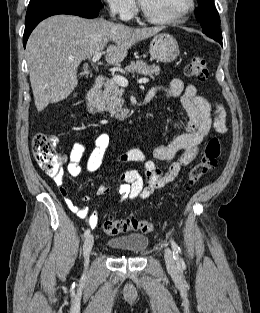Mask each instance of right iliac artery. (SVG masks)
<instances>
[{"label": "right iliac artery", "instance_id": "82829eb1", "mask_svg": "<svg viewBox=\"0 0 260 313\" xmlns=\"http://www.w3.org/2000/svg\"><path fill=\"white\" fill-rule=\"evenodd\" d=\"M89 233H90V230L87 229V230L84 232V238H87V236L89 235Z\"/></svg>", "mask_w": 260, "mask_h": 313}]
</instances>
